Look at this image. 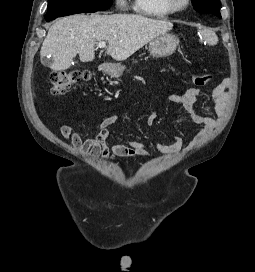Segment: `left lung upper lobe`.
I'll return each instance as SVG.
<instances>
[{
  "instance_id": "5c2ea615",
  "label": "left lung upper lobe",
  "mask_w": 255,
  "mask_h": 272,
  "mask_svg": "<svg viewBox=\"0 0 255 272\" xmlns=\"http://www.w3.org/2000/svg\"><path fill=\"white\" fill-rule=\"evenodd\" d=\"M192 5L199 13H211L221 18L220 0H192Z\"/></svg>"
}]
</instances>
